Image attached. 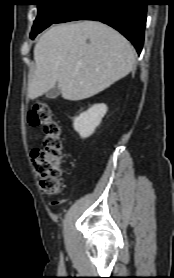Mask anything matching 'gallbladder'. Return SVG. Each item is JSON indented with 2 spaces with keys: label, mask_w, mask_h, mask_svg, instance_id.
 I'll return each instance as SVG.
<instances>
[{
  "label": "gallbladder",
  "mask_w": 174,
  "mask_h": 278,
  "mask_svg": "<svg viewBox=\"0 0 174 278\" xmlns=\"http://www.w3.org/2000/svg\"><path fill=\"white\" fill-rule=\"evenodd\" d=\"M45 95L49 99H55L60 95V90H59L58 86L56 85L55 87L50 89L48 92H46Z\"/></svg>",
  "instance_id": "1"
}]
</instances>
